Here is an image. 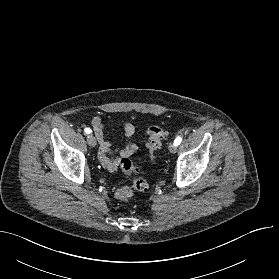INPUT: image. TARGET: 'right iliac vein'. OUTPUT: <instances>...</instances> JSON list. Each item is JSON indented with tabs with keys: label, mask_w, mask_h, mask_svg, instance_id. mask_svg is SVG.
Wrapping results in <instances>:
<instances>
[{
	"label": "right iliac vein",
	"mask_w": 279,
	"mask_h": 279,
	"mask_svg": "<svg viewBox=\"0 0 279 279\" xmlns=\"http://www.w3.org/2000/svg\"><path fill=\"white\" fill-rule=\"evenodd\" d=\"M87 142L91 147H95L97 144L96 138L92 134L87 137Z\"/></svg>",
	"instance_id": "63e3f726"
}]
</instances>
